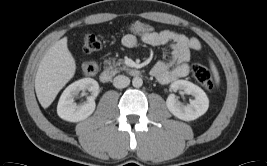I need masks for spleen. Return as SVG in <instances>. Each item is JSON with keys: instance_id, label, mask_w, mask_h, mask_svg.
<instances>
[{"instance_id": "spleen-1", "label": "spleen", "mask_w": 267, "mask_h": 166, "mask_svg": "<svg viewBox=\"0 0 267 166\" xmlns=\"http://www.w3.org/2000/svg\"><path fill=\"white\" fill-rule=\"evenodd\" d=\"M212 68H213V72H214V76H215L216 81H219L218 73H217L215 67L212 66Z\"/></svg>"}]
</instances>
